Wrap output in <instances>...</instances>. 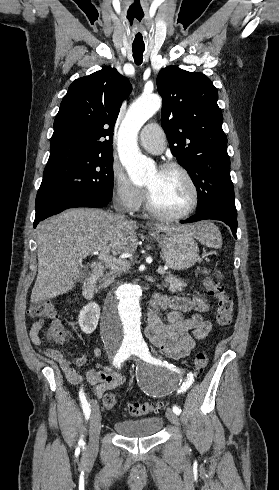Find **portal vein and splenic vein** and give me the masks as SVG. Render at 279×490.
Instances as JSON below:
<instances>
[{
	"label": "portal vein and splenic vein",
	"mask_w": 279,
	"mask_h": 490,
	"mask_svg": "<svg viewBox=\"0 0 279 490\" xmlns=\"http://www.w3.org/2000/svg\"><path fill=\"white\" fill-rule=\"evenodd\" d=\"M97 256H99V260H102L104 266L106 268H117V266H125L127 262H122L123 258H126V256H120V260H116V258H109V256H106L105 252H97ZM165 270L167 268H158V274H166Z\"/></svg>",
	"instance_id": "obj_1"
}]
</instances>
